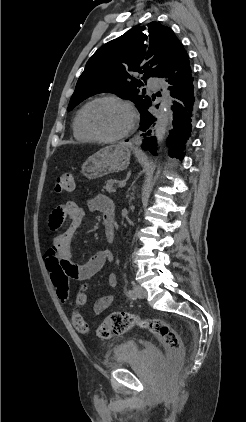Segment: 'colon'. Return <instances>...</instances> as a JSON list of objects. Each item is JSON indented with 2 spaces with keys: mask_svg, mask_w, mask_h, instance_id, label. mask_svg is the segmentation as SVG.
Instances as JSON below:
<instances>
[{
  "mask_svg": "<svg viewBox=\"0 0 246 422\" xmlns=\"http://www.w3.org/2000/svg\"><path fill=\"white\" fill-rule=\"evenodd\" d=\"M74 188V179L71 173H62L55 180L56 192H70ZM47 268L52 283L56 288L57 296L62 302L69 299V270L61 258L51 254L47 259ZM87 285L83 284L75 300L71 319L73 326L83 334H89L90 328L83 319L79 308L86 301ZM139 326L151 332L167 349L173 365H180L184 360V347L177 331L167 322L157 318L141 319L127 312L111 313L96 329V335L101 339H109L114 335H122Z\"/></svg>",
  "mask_w": 246,
  "mask_h": 422,
  "instance_id": "obj_1",
  "label": "colon"
}]
</instances>
